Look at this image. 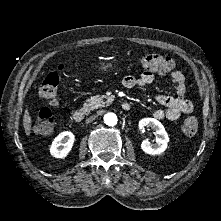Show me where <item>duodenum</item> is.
Instances as JSON below:
<instances>
[{
	"label": "duodenum",
	"mask_w": 221,
	"mask_h": 221,
	"mask_svg": "<svg viewBox=\"0 0 221 221\" xmlns=\"http://www.w3.org/2000/svg\"><path fill=\"white\" fill-rule=\"evenodd\" d=\"M121 106H122V109L126 110V111L130 110V108H131V106L128 102H123ZM85 114H86L85 109H83V108L76 109L72 113V119L75 122H82L85 118Z\"/></svg>",
	"instance_id": "1"
}]
</instances>
